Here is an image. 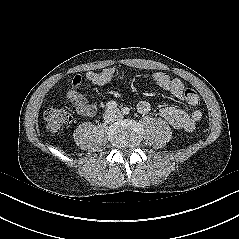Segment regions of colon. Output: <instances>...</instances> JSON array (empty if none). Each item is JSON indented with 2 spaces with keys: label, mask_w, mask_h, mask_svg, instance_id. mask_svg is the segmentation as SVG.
<instances>
[{
  "label": "colon",
  "mask_w": 239,
  "mask_h": 239,
  "mask_svg": "<svg viewBox=\"0 0 239 239\" xmlns=\"http://www.w3.org/2000/svg\"><path fill=\"white\" fill-rule=\"evenodd\" d=\"M183 99L190 106L198 105L200 100L197 92L190 87L184 88ZM44 119L50 133H59L72 120L71 105L46 109Z\"/></svg>",
  "instance_id": "5ec220e1"
}]
</instances>
